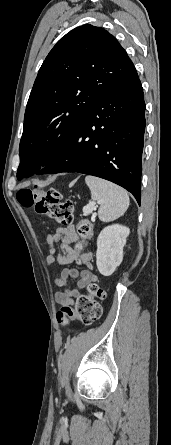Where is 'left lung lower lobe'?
Masks as SVG:
<instances>
[{
    "label": "left lung lower lobe",
    "instance_id": "obj_1",
    "mask_svg": "<svg viewBox=\"0 0 171 445\" xmlns=\"http://www.w3.org/2000/svg\"><path fill=\"white\" fill-rule=\"evenodd\" d=\"M145 102L136 70L81 116L58 154L37 174L79 172L116 183L140 204Z\"/></svg>",
    "mask_w": 171,
    "mask_h": 445
}]
</instances>
